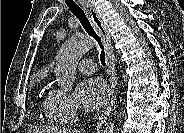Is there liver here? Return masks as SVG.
I'll list each match as a JSON object with an SVG mask.
<instances>
[{
	"label": "liver",
	"instance_id": "liver-1",
	"mask_svg": "<svg viewBox=\"0 0 184 133\" xmlns=\"http://www.w3.org/2000/svg\"><path fill=\"white\" fill-rule=\"evenodd\" d=\"M33 133H71V130L66 128H40L34 129Z\"/></svg>",
	"mask_w": 184,
	"mask_h": 133
}]
</instances>
